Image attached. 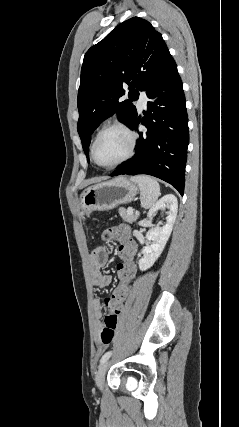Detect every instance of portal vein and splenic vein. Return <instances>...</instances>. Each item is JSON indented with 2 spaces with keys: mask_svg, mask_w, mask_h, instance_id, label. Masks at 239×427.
Wrapping results in <instances>:
<instances>
[{
  "mask_svg": "<svg viewBox=\"0 0 239 427\" xmlns=\"http://www.w3.org/2000/svg\"><path fill=\"white\" fill-rule=\"evenodd\" d=\"M127 211H128V213H129V214H132V213H133V209H132L131 207H130V208H128V210H127ZM136 214L138 215V213H136Z\"/></svg>",
  "mask_w": 239,
  "mask_h": 427,
  "instance_id": "portal-vein-and-splenic-vein-1",
  "label": "portal vein and splenic vein"
}]
</instances>
